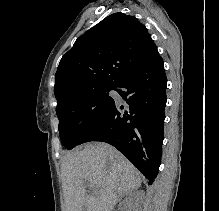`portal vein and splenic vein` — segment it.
I'll return each instance as SVG.
<instances>
[{"mask_svg": "<svg viewBox=\"0 0 219 211\" xmlns=\"http://www.w3.org/2000/svg\"><path fill=\"white\" fill-rule=\"evenodd\" d=\"M87 183H88V185H90V179H88ZM93 191H94V193H97L98 187H94Z\"/></svg>", "mask_w": 219, "mask_h": 211, "instance_id": "portal-vein-and-splenic-vein-1", "label": "portal vein and splenic vein"}]
</instances>
